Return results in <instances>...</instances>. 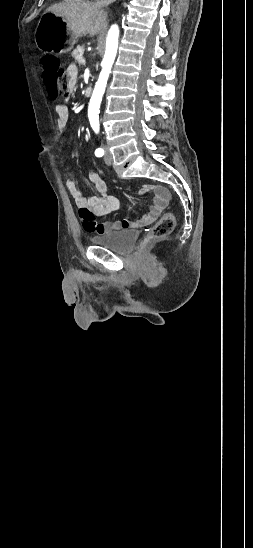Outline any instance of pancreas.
<instances>
[{
	"label": "pancreas",
	"mask_w": 253,
	"mask_h": 548,
	"mask_svg": "<svg viewBox=\"0 0 253 548\" xmlns=\"http://www.w3.org/2000/svg\"><path fill=\"white\" fill-rule=\"evenodd\" d=\"M84 54V47L78 46L76 49L73 50L72 56L75 58V60L80 64V60L83 59Z\"/></svg>",
	"instance_id": "1"
}]
</instances>
